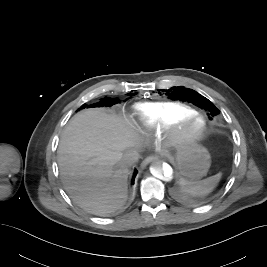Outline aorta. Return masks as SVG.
<instances>
[{
    "label": "aorta",
    "instance_id": "1",
    "mask_svg": "<svg viewBox=\"0 0 267 267\" xmlns=\"http://www.w3.org/2000/svg\"><path fill=\"white\" fill-rule=\"evenodd\" d=\"M150 172L154 177L162 181H169L173 176V168L161 160H156L151 164Z\"/></svg>",
    "mask_w": 267,
    "mask_h": 267
}]
</instances>
